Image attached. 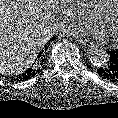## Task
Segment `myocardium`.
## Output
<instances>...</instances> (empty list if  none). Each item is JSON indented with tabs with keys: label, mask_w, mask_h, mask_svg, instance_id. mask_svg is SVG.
Instances as JSON below:
<instances>
[{
	"label": "myocardium",
	"mask_w": 118,
	"mask_h": 118,
	"mask_svg": "<svg viewBox=\"0 0 118 118\" xmlns=\"http://www.w3.org/2000/svg\"><path fill=\"white\" fill-rule=\"evenodd\" d=\"M107 26V35H109L114 41L118 42V0H114L111 4L109 16L105 21L96 22L98 32L102 31L101 24Z\"/></svg>",
	"instance_id": "f54148a6"
}]
</instances>
